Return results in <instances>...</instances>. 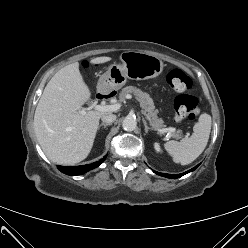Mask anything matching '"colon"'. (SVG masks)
I'll return each instance as SVG.
<instances>
[{"label": "colon", "mask_w": 248, "mask_h": 248, "mask_svg": "<svg viewBox=\"0 0 248 248\" xmlns=\"http://www.w3.org/2000/svg\"><path fill=\"white\" fill-rule=\"evenodd\" d=\"M167 82L178 93L175 99V118L178 121H194L200 110L198 100L191 94V79L180 69H172L167 75Z\"/></svg>", "instance_id": "1"}]
</instances>
